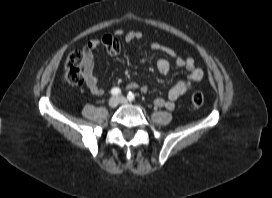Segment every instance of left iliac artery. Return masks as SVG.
I'll return each instance as SVG.
<instances>
[{"mask_svg": "<svg viewBox=\"0 0 272 198\" xmlns=\"http://www.w3.org/2000/svg\"><path fill=\"white\" fill-rule=\"evenodd\" d=\"M127 98L129 101H133L135 99V95L132 92H129Z\"/></svg>", "mask_w": 272, "mask_h": 198, "instance_id": "1", "label": "left iliac artery"}]
</instances>
